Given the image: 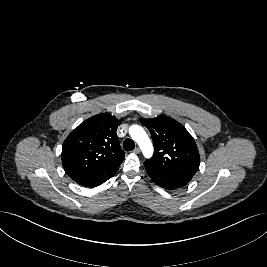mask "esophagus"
Returning <instances> with one entry per match:
<instances>
[{
	"mask_svg": "<svg viewBox=\"0 0 267 267\" xmlns=\"http://www.w3.org/2000/svg\"><path fill=\"white\" fill-rule=\"evenodd\" d=\"M133 152H134L135 154H139V153H140V148H139V147H136V148L133 150Z\"/></svg>",
	"mask_w": 267,
	"mask_h": 267,
	"instance_id": "34e87169",
	"label": "esophagus"
}]
</instances>
